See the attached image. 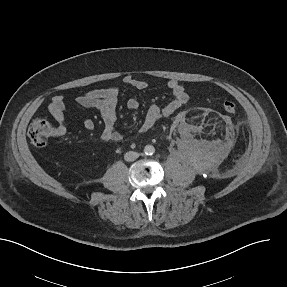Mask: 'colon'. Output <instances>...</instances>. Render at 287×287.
Masks as SVG:
<instances>
[{
	"label": "colon",
	"instance_id": "5ec220e1",
	"mask_svg": "<svg viewBox=\"0 0 287 287\" xmlns=\"http://www.w3.org/2000/svg\"><path fill=\"white\" fill-rule=\"evenodd\" d=\"M223 109L227 113H234L236 111V105L232 101H226L223 104ZM52 134L53 127L51 123L45 119L34 120L28 129V136L32 144L36 147H44Z\"/></svg>",
	"mask_w": 287,
	"mask_h": 287
}]
</instances>
